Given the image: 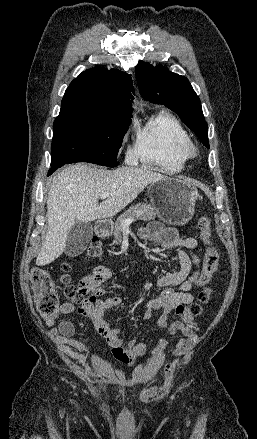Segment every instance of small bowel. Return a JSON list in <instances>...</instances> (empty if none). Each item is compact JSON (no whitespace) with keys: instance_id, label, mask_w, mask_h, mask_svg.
Listing matches in <instances>:
<instances>
[{"instance_id":"obj_1","label":"small bowel","mask_w":257,"mask_h":439,"mask_svg":"<svg viewBox=\"0 0 257 439\" xmlns=\"http://www.w3.org/2000/svg\"><path fill=\"white\" fill-rule=\"evenodd\" d=\"M141 239L151 244L160 245L163 250L176 249V257L179 261V268L165 273L158 279V286L163 288L159 296L149 300L144 309L143 319H149L159 312L158 325L167 329L170 335L181 333L172 355L180 357L184 355L195 343L197 324L187 316V305L193 301L191 290L199 286L200 258L195 253L198 245L194 237H181L174 227H166L160 222H151L139 230ZM111 271L103 265L96 266L91 272L85 274L80 281V288L95 295H104L102 283L109 279ZM177 287L178 289H175ZM122 304L119 296H110L98 301L95 309L80 312L89 316L99 334L105 339L111 355L125 367L135 365L146 352V345L132 338L124 340L121 338V328L113 327L105 318V312ZM73 304L61 303L55 315L46 318L48 326H54L60 315L72 313ZM171 314L177 315L180 320H174ZM59 342L64 346L65 351L76 361L88 368L87 359L93 356V351L81 341L73 338L75 324L70 320H63L57 328L53 329ZM168 340L161 338L152 349L148 366L151 370L157 369L164 358ZM172 366H168L167 375L171 374Z\"/></svg>"}]
</instances>
